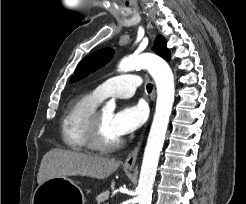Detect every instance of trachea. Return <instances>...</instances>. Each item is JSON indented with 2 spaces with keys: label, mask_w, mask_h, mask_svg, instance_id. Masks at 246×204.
<instances>
[{
  "label": "trachea",
  "mask_w": 246,
  "mask_h": 204,
  "mask_svg": "<svg viewBox=\"0 0 246 204\" xmlns=\"http://www.w3.org/2000/svg\"><path fill=\"white\" fill-rule=\"evenodd\" d=\"M153 89V85L152 84H147V91L148 93H150Z\"/></svg>",
  "instance_id": "obj_1"
}]
</instances>
